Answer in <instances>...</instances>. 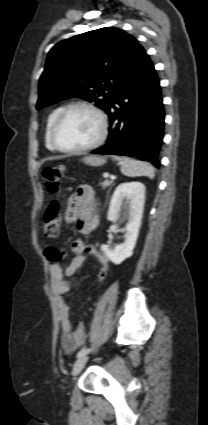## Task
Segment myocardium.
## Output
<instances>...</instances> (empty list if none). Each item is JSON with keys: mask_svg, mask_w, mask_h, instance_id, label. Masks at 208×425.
<instances>
[{"mask_svg": "<svg viewBox=\"0 0 208 425\" xmlns=\"http://www.w3.org/2000/svg\"><path fill=\"white\" fill-rule=\"evenodd\" d=\"M75 109H84L87 111L92 112L98 119L99 124H100V130H99V134L97 136V138L90 144L80 147V148H64L62 146H60L56 140V132L57 129L61 123V121L63 120V118L72 110ZM107 132H108V120L107 117L105 115V113L97 106L88 103V102H75V103H71L68 104L67 106L63 107L59 113L57 114V116L55 117L52 126H51V130H50V141L52 146L54 147V149L63 152V153H68V154H81V153H85L88 152L90 150H93L95 148H97L98 146H100L104 140L106 139L107 136Z\"/></svg>", "mask_w": 208, "mask_h": 425, "instance_id": "myocardium-1", "label": "myocardium"}]
</instances>
